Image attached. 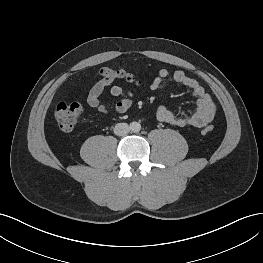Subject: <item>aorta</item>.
<instances>
[{
  "mask_svg": "<svg viewBox=\"0 0 263 263\" xmlns=\"http://www.w3.org/2000/svg\"><path fill=\"white\" fill-rule=\"evenodd\" d=\"M130 129H131V131H133V132H139L140 129H141V125H140V123H138V122H132V123L130 124Z\"/></svg>",
  "mask_w": 263,
  "mask_h": 263,
  "instance_id": "aorta-1",
  "label": "aorta"
}]
</instances>
